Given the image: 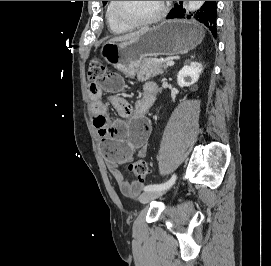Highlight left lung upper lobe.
<instances>
[{
    "mask_svg": "<svg viewBox=\"0 0 271 266\" xmlns=\"http://www.w3.org/2000/svg\"><path fill=\"white\" fill-rule=\"evenodd\" d=\"M107 1H103V4L105 5Z\"/></svg>",
    "mask_w": 271,
    "mask_h": 266,
    "instance_id": "obj_1",
    "label": "left lung upper lobe"
}]
</instances>
